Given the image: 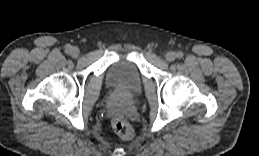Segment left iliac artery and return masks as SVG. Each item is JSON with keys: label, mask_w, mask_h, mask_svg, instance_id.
Returning <instances> with one entry per match:
<instances>
[{"label": "left iliac artery", "mask_w": 259, "mask_h": 156, "mask_svg": "<svg viewBox=\"0 0 259 156\" xmlns=\"http://www.w3.org/2000/svg\"><path fill=\"white\" fill-rule=\"evenodd\" d=\"M177 58H182L183 57V53L181 51L177 52L176 54Z\"/></svg>", "instance_id": "obj_1"}]
</instances>
